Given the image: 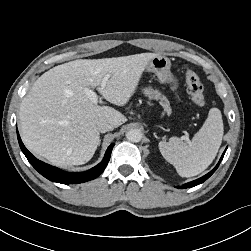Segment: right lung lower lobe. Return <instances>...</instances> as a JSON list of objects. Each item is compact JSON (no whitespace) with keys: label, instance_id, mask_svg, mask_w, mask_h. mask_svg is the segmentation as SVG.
Listing matches in <instances>:
<instances>
[{"label":"right lung lower lobe","instance_id":"1","mask_svg":"<svg viewBox=\"0 0 251 251\" xmlns=\"http://www.w3.org/2000/svg\"><path fill=\"white\" fill-rule=\"evenodd\" d=\"M17 138L22 152L24 153L28 161L31 163V165L48 180L62 184L82 183L97 178L106 168L114 146V144H111L108 147L103 160L95 167L85 172L70 173L38 160L25 148L18 132H17Z\"/></svg>","mask_w":251,"mask_h":251}]
</instances>
